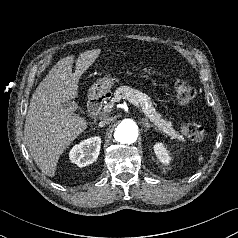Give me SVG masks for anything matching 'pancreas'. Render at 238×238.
I'll use <instances>...</instances> for the list:
<instances>
[{"label":"pancreas","mask_w":238,"mask_h":238,"mask_svg":"<svg viewBox=\"0 0 238 238\" xmlns=\"http://www.w3.org/2000/svg\"><path fill=\"white\" fill-rule=\"evenodd\" d=\"M121 99H133L137 101L140 103L143 113L159 131L170 136L171 139H176L179 141L184 140L183 136L177 133L172 127V123L162 118L161 114L155 110L150 97L145 93H142L141 91L133 89L129 86H120L115 90L114 97L111 98L110 103L106 106L113 105V103L118 102Z\"/></svg>","instance_id":"pancreas-1"}]
</instances>
